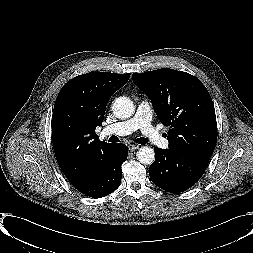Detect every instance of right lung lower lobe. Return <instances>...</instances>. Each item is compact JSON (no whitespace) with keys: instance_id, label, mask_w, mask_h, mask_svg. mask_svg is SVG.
Masks as SVG:
<instances>
[{"instance_id":"98d812e1","label":"right lung lower lobe","mask_w":253,"mask_h":253,"mask_svg":"<svg viewBox=\"0 0 253 253\" xmlns=\"http://www.w3.org/2000/svg\"><path fill=\"white\" fill-rule=\"evenodd\" d=\"M127 155L126 145L112 144L97 166L90 171L87 180L75 188L92 198H101L112 193L120 185L121 165Z\"/></svg>"}]
</instances>
